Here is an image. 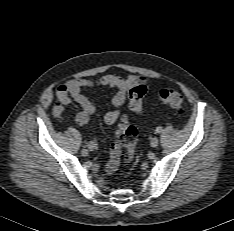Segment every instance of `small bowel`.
Masks as SVG:
<instances>
[{"label":"small bowel","mask_w":234,"mask_h":231,"mask_svg":"<svg viewBox=\"0 0 234 231\" xmlns=\"http://www.w3.org/2000/svg\"><path fill=\"white\" fill-rule=\"evenodd\" d=\"M136 78L133 76L121 77L118 75H105L97 80L89 79H72L60 85L57 88L56 96L57 103L53 107V114L59 117L65 106L71 102H76L80 105L82 110L76 115V122L79 125H86L89 123L91 116L94 114L95 105L85 96L83 89L93 87H109L115 90L112 98L113 110L108 111L104 116V121L108 125L114 124L120 117L118 110L125 100L128 90L135 84ZM117 169L115 163L110 160L106 165V172L113 173Z\"/></svg>","instance_id":"1"}]
</instances>
